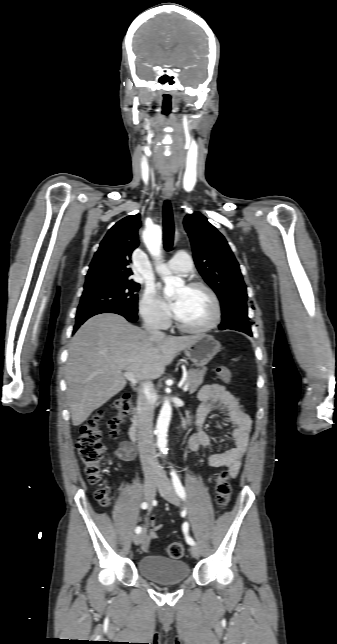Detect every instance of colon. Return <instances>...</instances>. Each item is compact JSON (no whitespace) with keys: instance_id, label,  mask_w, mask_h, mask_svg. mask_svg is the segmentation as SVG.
Returning <instances> with one entry per match:
<instances>
[{"instance_id":"1","label":"colon","mask_w":337,"mask_h":644,"mask_svg":"<svg viewBox=\"0 0 337 644\" xmlns=\"http://www.w3.org/2000/svg\"><path fill=\"white\" fill-rule=\"evenodd\" d=\"M217 375L219 378L229 383L231 382V370L226 365L217 367ZM131 407L130 396L123 394L115 399L112 408L115 415L108 421L110 435L116 438L118 435V426ZM103 416L102 411H98L80 428V434L76 442L78 455L84 465L85 473L90 484L96 486L95 498L102 506H107L109 503L108 490L105 484V479L102 474V458L104 455V445L101 440V432L99 429V422ZM215 493L216 501L221 509H224L231 496V484L229 473L222 470L217 473L215 477ZM168 557L172 559H180L185 552L184 545L180 542H173L168 545L166 549Z\"/></svg>"}]
</instances>
